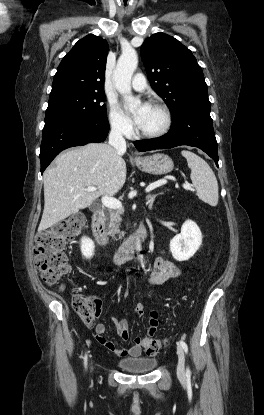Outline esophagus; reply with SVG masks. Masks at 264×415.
Segmentation results:
<instances>
[{
  "label": "esophagus",
  "instance_id": "obj_1",
  "mask_svg": "<svg viewBox=\"0 0 264 415\" xmlns=\"http://www.w3.org/2000/svg\"><path fill=\"white\" fill-rule=\"evenodd\" d=\"M132 160L133 161H137L138 160V157L137 156H134V157H132Z\"/></svg>",
  "mask_w": 264,
  "mask_h": 415
}]
</instances>
